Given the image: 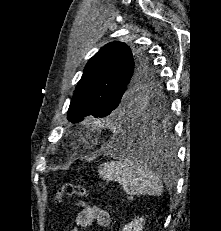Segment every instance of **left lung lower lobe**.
Returning <instances> with one entry per match:
<instances>
[{
  "mask_svg": "<svg viewBox=\"0 0 221 231\" xmlns=\"http://www.w3.org/2000/svg\"><path fill=\"white\" fill-rule=\"evenodd\" d=\"M166 126L160 118L147 117L122 127L119 144L122 149L137 153L145 165L160 166L173 153L171 131Z\"/></svg>",
  "mask_w": 221,
  "mask_h": 231,
  "instance_id": "0a47b994",
  "label": "left lung lower lobe"
}]
</instances>
